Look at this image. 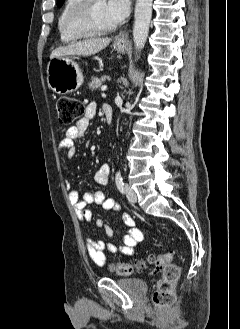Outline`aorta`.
<instances>
[{
  "instance_id": "aorta-1",
  "label": "aorta",
  "mask_w": 240,
  "mask_h": 329,
  "mask_svg": "<svg viewBox=\"0 0 240 329\" xmlns=\"http://www.w3.org/2000/svg\"><path fill=\"white\" fill-rule=\"evenodd\" d=\"M153 0H137L134 13L133 41L137 51H141L146 43L152 17Z\"/></svg>"
}]
</instances>
